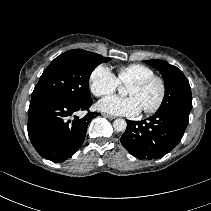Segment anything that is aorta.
<instances>
[{"label": "aorta", "instance_id": "1", "mask_svg": "<svg viewBox=\"0 0 211 211\" xmlns=\"http://www.w3.org/2000/svg\"><path fill=\"white\" fill-rule=\"evenodd\" d=\"M113 127L116 131H125L127 124L124 119H116L113 122Z\"/></svg>", "mask_w": 211, "mask_h": 211}]
</instances>
